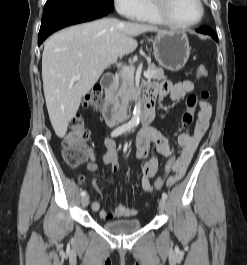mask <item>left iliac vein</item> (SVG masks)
I'll list each match as a JSON object with an SVG mask.
<instances>
[{
	"mask_svg": "<svg viewBox=\"0 0 247 265\" xmlns=\"http://www.w3.org/2000/svg\"><path fill=\"white\" fill-rule=\"evenodd\" d=\"M166 204H167L166 199L165 198H161L160 201H159V210L161 212H163L165 210Z\"/></svg>",
	"mask_w": 247,
	"mask_h": 265,
	"instance_id": "left-iliac-vein-1",
	"label": "left iliac vein"
}]
</instances>
